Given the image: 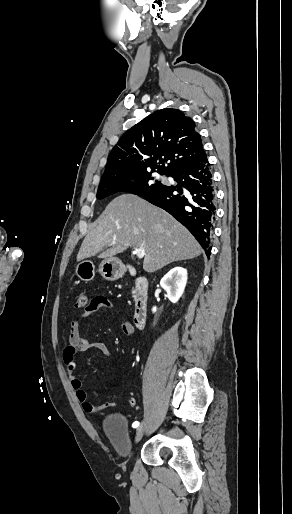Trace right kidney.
Masks as SVG:
<instances>
[{"label": "right kidney", "mask_w": 292, "mask_h": 514, "mask_svg": "<svg viewBox=\"0 0 292 514\" xmlns=\"http://www.w3.org/2000/svg\"><path fill=\"white\" fill-rule=\"evenodd\" d=\"M186 282L187 270L177 266V268H173V270H170V272L162 278L160 286L163 290H166L167 298H169L170 302L176 304L185 290ZM152 312H157L156 306L152 308Z\"/></svg>", "instance_id": "right-kidney-1"}]
</instances>
